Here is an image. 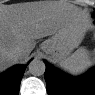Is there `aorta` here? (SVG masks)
<instances>
[{
  "mask_svg": "<svg viewBox=\"0 0 95 95\" xmlns=\"http://www.w3.org/2000/svg\"><path fill=\"white\" fill-rule=\"evenodd\" d=\"M46 65L42 60L34 59L29 64V72L34 76H41L45 73Z\"/></svg>",
  "mask_w": 95,
  "mask_h": 95,
  "instance_id": "obj_1",
  "label": "aorta"
}]
</instances>
